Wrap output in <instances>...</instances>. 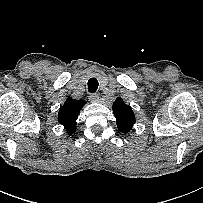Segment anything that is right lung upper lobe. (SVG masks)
<instances>
[{
	"instance_id": "cb5924a9",
	"label": "right lung upper lobe",
	"mask_w": 203,
	"mask_h": 203,
	"mask_svg": "<svg viewBox=\"0 0 203 203\" xmlns=\"http://www.w3.org/2000/svg\"><path fill=\"white\" fill-rule=\"evenodd\" d=\"M86 102L84 100H75L67 98L65 104L60 108L58 113L59 123L62 124L68 134L72 135L76 131V120L79 112Z\"/></svg>"
}]
</instances>
